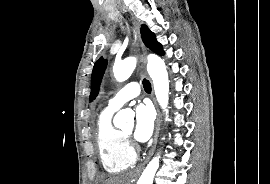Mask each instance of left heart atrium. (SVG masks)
<instances>
[{
    "label": "left heart atrium",
    "instance_id": "left-heart-atrium-1",
    "mask_svg": "<svg viewBox=\"0 0 270 184\" xmlns=\"http://www.w3.org/2000/svg\"><path fill=\"white\" fill-rule=\"evenodd\" d=\"M135 138L140 142L148 141L154 130V112L149 105L140 104L135 110Z\"/></svg>",
    "mask_w": 270,
    "mask_h": 184
}]
</instances>
